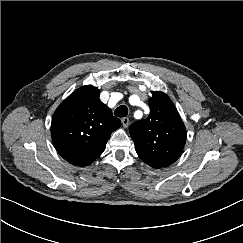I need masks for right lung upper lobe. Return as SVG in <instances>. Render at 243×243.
<instances>
[{
	"label": "right lung upper lobe",
	"mask_w": 243,
	"mask_h": 243,
	"mask_svg": "<svg viewBox=\"0 0 243 243\" xmlns=\"http://www.w3.org/2000/svg\"><path fill=\"white\" fill-rule=\"evenodd\" d=\"M100 91L86 85L66 98L52 117L51 137L57 152L77 166L90 165L105 150L121 121L99 99Z\"/></svg>",
	"instance_id": "obj_1"
}]
</instances>
